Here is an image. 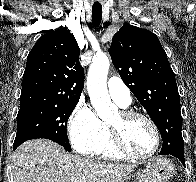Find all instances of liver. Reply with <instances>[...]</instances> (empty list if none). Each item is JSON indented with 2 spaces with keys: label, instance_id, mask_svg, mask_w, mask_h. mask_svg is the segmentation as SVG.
<instances>
[{
  "label": "liver",
  "instance_id": "6515ba94",
  "mask_svg": "<svg viewBox=\"0 0 196 182\" xmlns=\"http://www.w3.org/2000/svg\"><path fill=\"white\" fill-rule=\"evenodd\" d=\"M134 168L74 156L51 140L34 139L13 154L12 182H124Z\"/></svg>",
  "mask_w": 196,
  "mask_h": 182
}]
</instances>
